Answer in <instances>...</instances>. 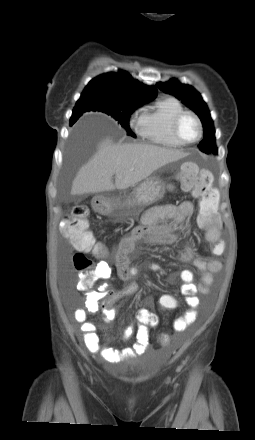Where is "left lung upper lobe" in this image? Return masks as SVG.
<instances>
[{"mask_svg":"<svg viewBox=\"0 0 255 440\" xmlns=\"http://www.w3.org/2000/svg\"><path fill=\"white\" fill-rule=\"evenodd\" d=\"M156 86L162 91L176 96L185 105L192 109L201 119L204 129L203 140L198 145L205 153H217L215 144V129L210 112L201 95L190 85L182 84L176 79L168 82H159Z\"/></svg>","mask_w":255,"mask_h":440,"instance_id":"left-lung-upper-lobe-1","label":"left lung upper lobe"}]
</instances>
